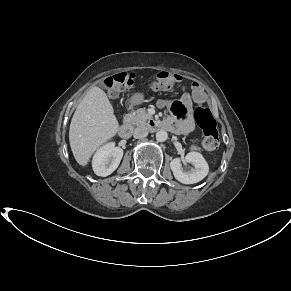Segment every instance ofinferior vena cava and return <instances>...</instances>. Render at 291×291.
<instances>
[{"instance_id":"obj_1","label":"inferior vena cava","mask_w":291,"mask_h":291,"mask_svg":"<svg viewBox=\"0 0 291 291\" xmlns=\"http://www.w3.org/2000/svg\"><path fill=\"white\" fill-rule=\"evenodd\" d=\"M148 135V128L146 126H138L135 128L133 136L134 138H143Z\"/></svg>"}]
</instances>
